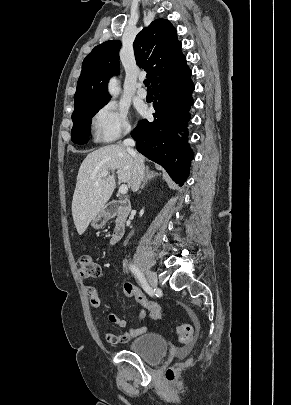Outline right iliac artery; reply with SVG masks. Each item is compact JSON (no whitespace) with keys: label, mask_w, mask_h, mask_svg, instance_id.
Returning <instances> with one entry per match:
<instances>
[{"label":"right iliac artery","mask_w":291,"mask_h":405,"mask_svg":"<svg viewBox=\"0 0 291 405\" xmlns=\"http://www.w3.org/2000/svg\"><path fill=\"white\" fill-rule=\"evenodd\" d=\"M129 269L131 270V272L139 279L142 288L144 289V291L149 295V296H153L154 292L152 290V288L149 286V284L147 283L146 279L144 278L143 274L140 272V270L134 266V265H129Z\"/></svg>","instance_id":"right-iliac-artery-1"}]
</instances>
